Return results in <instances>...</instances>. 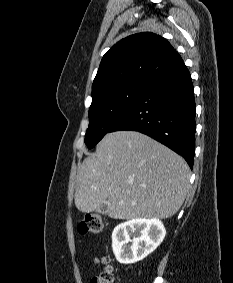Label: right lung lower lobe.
Instances as JSON below:
<instances>
[{
  "instance_id": "98d812e1",
  "label": "right lung lower lobe",
  "mask_w": 233,
  "mask_h": 283,
  "mask_svg": "<svg viewBox=\"0 0 233 283\" xmlns=\"http://www.w3.org/2000/svg\"><path fill=\"white\" fill-rule=\"evenodd\" d=\"M138 131L181 155L193 168L195 100L183 62L154 78L110 132Z\"/></svg>"
}]
</instances>
